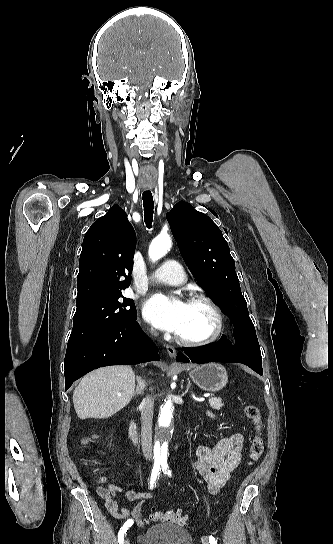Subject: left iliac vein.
I'll return each instance as SVG.
<instances>
[{
	"label": "left iliac vein",
	"mask_w": 333,
	"mask_h": 544,
	"mask_svg": "<svg viewBox=\"0 0 333 544\" xmlns=\"http://www.w3.org/2000/svg\"><path fill=\"white\" fill-rule=\"evenodd\" d=\"M201 542L202 544H208V541L205 537H202Z\"/></svg>",
	"instance_id": "4c4485c4"
}]
</instances>
